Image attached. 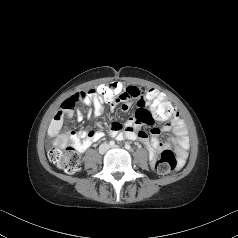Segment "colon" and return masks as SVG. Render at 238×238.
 Masks as SVG:
<instances>
[{"mask_svg":"<svg viewBox=\"0 0 238 238\" xmlns=\"http://www.w3.org/2000/svg\"><path fill=\"white\" fill-rule=\"evenodd\" d=\"M121 80H110L109 85L98 86L96 94L101 95L103 103H119L118 94H121ZM87 96L86 92H78L67 98L63 103L64 109H72L76 103L81 102ZM146 97L150 101L149 111L159 121H166L175 115V110L172 104L168 101V96L164 92H158L155 88H150L146 92ZM48 157L50 161L59 169L66 173L74 174L80 171L81 161L80 155L76 151L73 142L69 141L65 147H60L54 144L49 150ZM178 166V160L174 152L166 149L162 152L159 160L156 163V170L160 174H168L174 171Z\"/></svg>","mask_w":238,"mask_h":238,"instance_id":"obj_1","label":"colon"}]
</instances>
